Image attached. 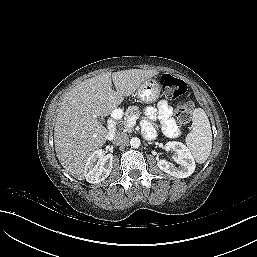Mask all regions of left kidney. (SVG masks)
I'll return each instance as SVG.
<instances>
[{
	"instance_id": "1",
	"label": "left kidney",
	"mask_w": 257,
	"mask_h": 257,
	"mask_svg": "<svg viewBox=\"0 0 257 257\" xmlns=\"http://www.w3.org/2000/svg\"><path fill=\"white\" fill-rule=\"evenodd\" d=\"M165 150L173 152L172 159L180 166L176 167L173 163L161 159L157 162L160 170L176 178H187L195 171L194 158L183 143L169 141L165 144Z\"/></svg>"
}]
</instances>
